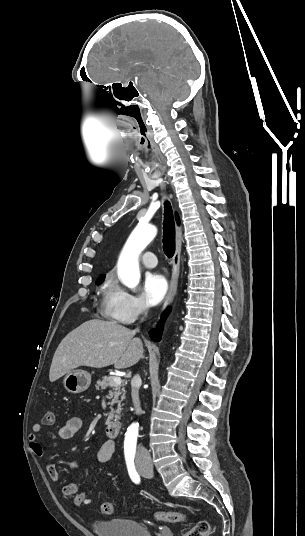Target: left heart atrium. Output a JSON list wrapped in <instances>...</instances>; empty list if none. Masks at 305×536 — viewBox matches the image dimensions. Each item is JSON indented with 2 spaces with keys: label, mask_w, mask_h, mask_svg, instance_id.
I'll return each mask as SVG.
<instances>
[{
  "label": "left heart atrium",
  "mask_w": 305,
  "mask_h": 536,
  "mask_svg": "<svg viewBox=\"0 0 305 536\" xmlns=\"http://www.w3.org/2000/svg\"><path fill=\"white\" fill-rule=\"evenodd\" d=\"M143 292L149 304H159L167 292L166 279L160 274H146L143 281Z\"/></svg>",
  "instance_id": "39dd6f15"
}]
</instances>
